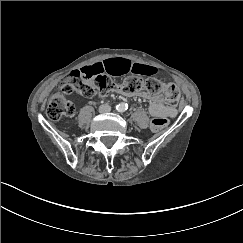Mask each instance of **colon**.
<instances>
[{
  "label": "colon",
  "instance_id": "1",
  "mask_svg": "<svg viewBox=\"0 0 243 243\" xmlns=\"http://www.w3.org/2000/svg\"><path fill=\"white\" fill-rule=\"evenodd\" d=\"M113 91H120L126 95L146 93L156 96L163 94L170 103H177L180 98L176 85L162 83L156 78L143 79L131 76L122 82H115L101 72L86 74L74 70L61 81L60 90L50 97L46 110L47 117L51 120H58L64 116H71L75 111V105L67 96L73 93L92 97L95 94L105 96ZM168 123L166 118L159 117L152 119L150 126L153 130L158 131L165 128Z\"/></svg>",
  "mask_w": 243,
  "mask_h": 243
}]
</instances>
